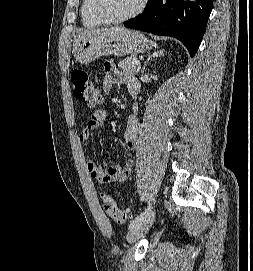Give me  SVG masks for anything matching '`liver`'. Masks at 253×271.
Listing matches in <instances>:
<instances>
[{
	"label": "liver",
	"instance_id": "liver-1",
	"mask_svg": "<svg viewBox=\"0 0 253 271\" xmlns=\"http://www.w3.org/2000/svg\"><path fill=\"white\" fill-rule=\"evenodd\" d=\"M113 29H119V28L98 29V30H94V31H84V32L80 33L78 36H76L74 41H76L78 39H81V38L85 37L86 35L94 33V32L108 31V30H113Z\"/></svg>",
	"mask_w": 253,
	"mask_h": 271
}]
</instances>
